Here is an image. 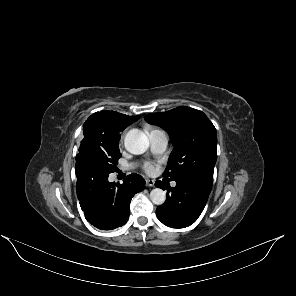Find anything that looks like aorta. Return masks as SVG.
<instances>
[{
	"instance_id": "aorta-1",
	"label": "aorta",
	"mask_w": 296,
	"mask_h": 296,
	"mask_svg": "<svg viewBox=\"0 0 296 296\" xmlns=\"http://www.w3.org/2000/svg\"><path fill=\"white\" fill-rule=\"evenodd\" d=\"M124 145L128 152L139 155L149 147V139L144 132L138 129H131L125 136ZM150 199L155 205H162L166 200V193L160 188L150 192Z\"/></svg>"
}]
</instances>
